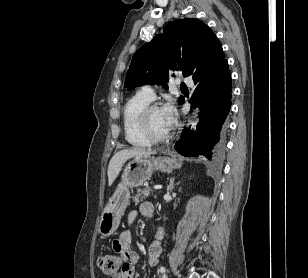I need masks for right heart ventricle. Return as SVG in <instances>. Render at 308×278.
Wrapping results in <instances>:
<instances>
[{
  "label": "right heart ventricle",
  "mask_w": 308,
  "mask_h": 278,
  "mask_svg": "<svg viewBox=\"0 0 308 278\" xmlns=\"http://www.w3.org/2000/svg\"><path fill=\"white\" fill-rule=\"evenodd\" d=\"M150 103L149 100L137 93L128 99L122 112V122L126 141L134 147L145 148L151 142L142 134L138 126L140 111Z\"/></svg>",
  "instance_id": "obj_1"
}]
</instances>
